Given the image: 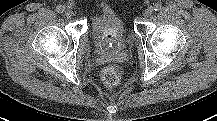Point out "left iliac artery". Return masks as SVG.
<instances>
[{
    "label": "left iliac artery",
    "mask_w": 217,
    "mask_h": 121,
    "mask_svg": "<svg viewBox=\"0 0 217 121\" xmlns=\"http://www.w3.org/2000/svg\"><path fill=\"white\" fill-rule=\"evenodd\" d=\"M154 11H159L161 9V4L160 3H156L153 6Z\"/></svg>",
    "instance_id": "left-iliac-artery-1"
}]
</instances>
